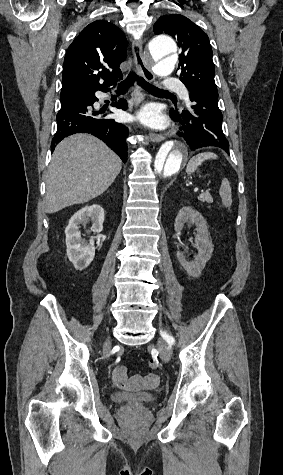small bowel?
Returning a JSON list of instances; mask_svg holds the SVG:
<instances>
[{
  "label": "small bowel",
  "instance_id": "obj_1",
  "mask_svg": "<svg viewBox=\"0 0 283 475\" xmlns=\"http://www.w3.org/2000/svg\"><path fill=\"white\" fill-rule=\"evenodd\" d=\"M144 379L150 387H154L158 383L159 377L156 374H150ZM112 382L114 386L119 389H128L130 387V378L127 375V369L124 365H117L113 369ZM131 382L134 385H139L141 383V373L139 371H134L132 373Z\"/></svg>",
  "mask_w": 283,
  "mask_h": 475
}]
</instances>
